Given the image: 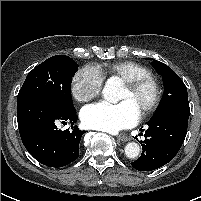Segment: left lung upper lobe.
<instances>
[{
	"label": "left lung upper lobe",
	"mask_w": 201,
	"mask_h": 201,
	"mask_svg": "<svg viewBox=\"0 0 201 201\" xmlns=\"http://www.w3.org/2000/svg\"><path fill=\"white\" fill-rule=\"evenodd\" d=\"M151 65L162 76L164 83V95L154 115L170 107L189 106L187 88L181 78L160 61L154 60Z\"/></svg>",
	"instance_id": "1"
}]
</instances>
